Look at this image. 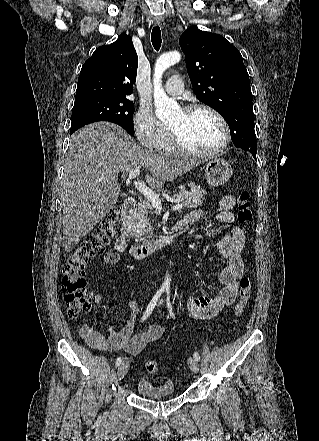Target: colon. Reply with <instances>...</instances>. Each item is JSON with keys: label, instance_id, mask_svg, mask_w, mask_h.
<instances>
[{"label": "colon", "instance_id": "colon-1", "mask_svg": "<svg viewBox=\"0 0 319 441\" xmlns=\"http://www.w3.org/2000/svg\"><path fill=\"white\" fill-rule=\"evenodd\" d=\"M238 221L248 224L252 221L253 210L250 203V193L242 191L236 200ZM118 219L117 211H112L100 224L89 233L77 247L68 255L63 265L62 293L70 318L76 319L89 311L88 287L84 279V269L91 259L101 254L114 234ZM252 294V281L248 275L240 279L239 298L234 306V316L241 315L248 305ZM146 370L156 373L159 363L156 360L146 362Z\"/></svg>", "mask_w": 319, "mask_h": 441}]
</instances>
